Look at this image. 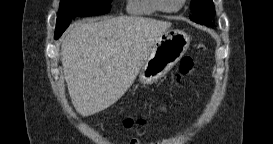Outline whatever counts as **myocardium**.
<instances>
[{
	"label": "myocardium",
	"mask_w": 273,
	"mask_h": 144,
	"mask_svg": "<svg viewBox=\"0 0 273 144\" xmlns=\"http://www.w3.org/2000/svg\"><path fill=\"white\" fill-rule=\"evenodd\" d=\"M155 1V5H156V8L158 11H161V12H166V13H173V12H176L178 11V7L176 8H167L165 5H164V2L165 0H154ZM185 2V0H180L179 2V5H183Z\"/></svg>",
	"instance_id": "myocardium-1"
}]
</instances>
